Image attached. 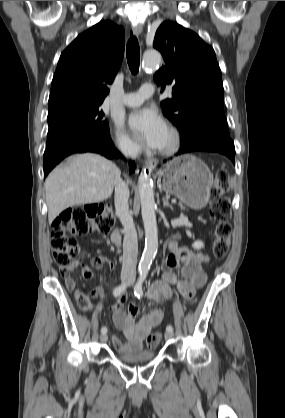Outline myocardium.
<instances>
[{
  "mask_svg": "<svg viewBox=\"0 0 285 418\" xmlns=\"http://www.w3.org/2000/svg\"><path fill=\"white\" fill-rule=\"evenodd\" d=\"M167 134V141L157 148V151L162 155L174 154L179 149L181 144V135L177 128L170 126L167 129Z\"/></svg>",
  "mask_w": 285,
  "mask_h": 418,
  "instance_id": "f54148a6",
  "label": "myocardium"
}]
</instances>
